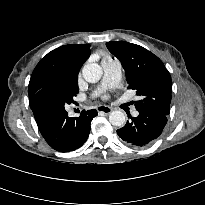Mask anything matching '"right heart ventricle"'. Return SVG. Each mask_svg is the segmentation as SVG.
Listing matches in <instances>:
<instances>
[{
	"mask_svg": "<svg viewBox=\"0 0 205 205\" xmlns=\"http://www.w3.org/2000/svg\"><path fill=\"white\" fill-rule=\"evenodd\" d=\"M108 59H110V57L105 56V57L103 58V61L108 60Z\"/></svg>",
	"mask_w": 205,
	"mask_h": 205,
	"instance_id": "e07e8e85",
	"label": "right heart ventricle"
}]
</instances>
